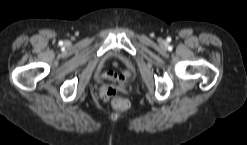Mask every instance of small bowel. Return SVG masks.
<instances>
[{
	"label": "small bowel",
	"mask_w": 247,
	"mask_h": 145,
	"mask_svg": "<svg viewBox=\"0 0 247 145\" xmlns=\"http://www.w3.org/2000/svg\"><path fill=\"white\" fill-rule=\"evenodd\" d=\"M131 77V72L128 70H122L119 74L112 71L105 72L99 76L102 79H108L117 83V88L122 89ZM107 90L104 92V99H108Z\"/></svg>",
	"instance_id": "1"
}]
</instances>
